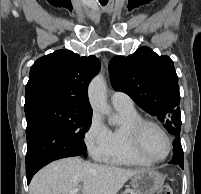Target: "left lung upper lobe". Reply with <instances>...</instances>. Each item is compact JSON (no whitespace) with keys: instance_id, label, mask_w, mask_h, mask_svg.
Segmentation results:
<instances>
[{"instance_id":"5c2ea615","label":"left lung upper lobe","mask_w":201,"mask_h":194,"mask_svg":"<svg viewBox=\"0 0 201 194\" xmlns=\"http://www.w3.org/2000/svg\"><path fill=\"white\" fill-rule=\"evenodd\" d=\"M113 88L128 94L142 109L157 117L173 136L180 135L181 113L178 76L168 56L140 47L109 63Z\"/></svg>"}]
</instances>
